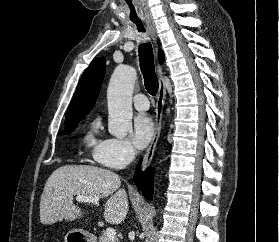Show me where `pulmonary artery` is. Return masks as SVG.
<instances>
[{"label":"pulmonary artery","mask_w":279,"mask_h":242,"mask_svg":"<svg viewBox=\"0 0 279 242\" xmlns=\"http://www.w3.org/2000/svg\"><path fill=\"white\" fill-rule=\"evenodd\" d=\"M134 107L139 111H146L149 109L148 98L144 94H137L133 97Z\"/></svg>","instance_id":"1"}]
</instances>
